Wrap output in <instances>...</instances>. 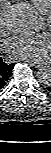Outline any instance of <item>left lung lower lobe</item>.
<instances>
[{
  "label": "left lung lower lobe",
  "mask_w": 51,
  "mask_h": 153,
  "mask_svg": "<svg viewBox=\"0 0 51 153\" xmlns=\"http://www.w3.org/2000/svg\"><path fill=\"white\" fill-rule=\"evenodd\" d=\"M49 91H51V87L47 88Z\"/></svg>",
  "instance_id": "1"
}]
</instances>
